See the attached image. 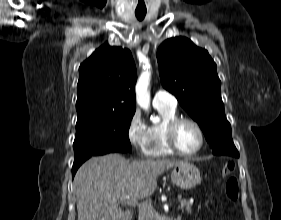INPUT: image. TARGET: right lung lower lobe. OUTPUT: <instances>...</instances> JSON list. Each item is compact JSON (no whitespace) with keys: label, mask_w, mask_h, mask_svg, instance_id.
Instances as JSON below:
<instances>
[{"label":"right lung lower lobe","mask_w":281,"mask_h":220,"mask_svg":"<svg viewBox=\"0 0 281 220\" xmlns=\"http://www.w3.org/2000/svg\"><path fill=\"white\" fill-rule=\"evenodd\" d=\"M93 156V155H91ZM91 156H85V157H82L80 159H77V160H74V163H73V167H72V176L74 177L77 169L80 167V165L85 162L87 159H89Z\"/></svg>","instance_id":"1"}]
</instances>
